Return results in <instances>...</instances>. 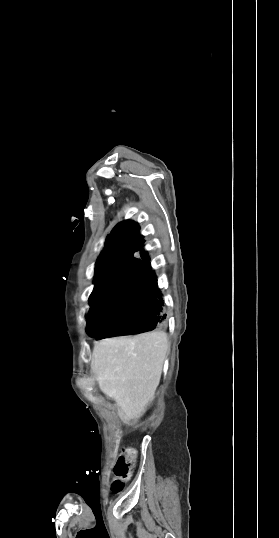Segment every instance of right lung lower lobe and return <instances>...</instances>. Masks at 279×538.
<instances>
[{
	"instance_id": "right-lung-lower-lobe-1",
	"label": "right lung lower lobe",
	"mask_w": 279,
	"mask_h": 538,
	"mask_svg": "<svg viewBox=\"0 0 279 538\" xmlns=\"http://www.w3.org/2000/svg\"><path fill=\"white\" fill-rule=\"evenodd\" d=\"M144 241L133 220L118 223L107 236L89 298V336L99 340L166 327L165 303L148 253L142 250Z\"/></svg>"
}]
</instances>
